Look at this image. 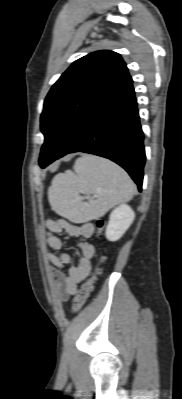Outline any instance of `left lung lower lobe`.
Masks as SVG:
<instances>
[{"label":"left lung lower lobe","instance_id":"left-lung-lower-lobe-1","mask_svg":"<svg viewBox=\"0 0 182 399\" xmlns=\"http://www.w3.org/2000/svg\"><path fill=\"white\" fill-rule=\"evenodd\" d=\"M143 140L137 100L131 82L90 116L56 159L74 152L108 158L122 166L141 191L146 158Z\"/></svg>","mask_w":182,"mask_h":399}]
</instances>
